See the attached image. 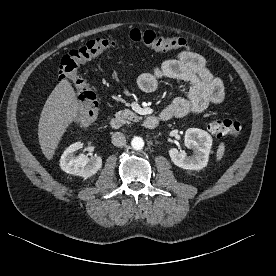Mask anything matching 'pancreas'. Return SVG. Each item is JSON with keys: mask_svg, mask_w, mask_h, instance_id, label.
<instances>
[{"mask_svg": "<svg viewBox=\"0 0 276 276\" xmlns=\"http://www.w3.org/2000/svg\"><path fill=\"white\" fill-rule=\"evenodd\" d=\"M116 116L122 119L125 123L129 121L138 122L142 119L141 116H137L133 111L129 109H124L122 111H118Z\"/></svg>", "mask_w": 276, "mask_h": 276, "instance_id": "pancreas-1", "label": "pancreas"}]
</instances>
